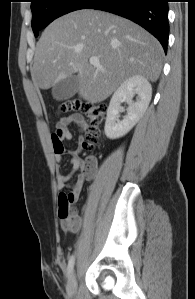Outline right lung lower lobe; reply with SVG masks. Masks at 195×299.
<instances>
[{"mask_svg":"<svg viewBox=\"0 0 195 299\" xmlns=\"http://www.w3.org/2000/svg\"><path fill=\"white\" fill-rule=\"evenodd\" d=\"M85 8L111 12L132 20L155 36L167 52L168 0H91Z\"/></svg>","mask_w":195,"mask_h":299,"instance_id":"right-lung-lower-lobe-1","label":"right lung lower lobe"}]
</instances>
